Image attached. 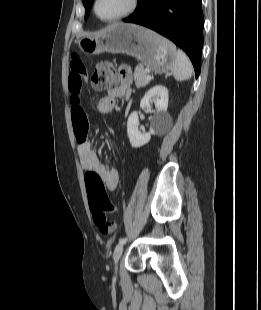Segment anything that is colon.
Wrapping results in <instances>:
<instances>
[{"mask_svg":"<svg viewBox=\"0 0 261 310\" xmlns=\"http://www.w3.org/2000/svg\"><path fill=\"white\" fill-rule=\"evenodd\" d=\"M115 85H117V77L113 65L108 61L98 62L91 77L93 89L102 91ZM85 182L95 225L102 234L113 233L116 223L107 218L106 212H114L116 206L110 201L101 176L94 171H88L85 174Z\"/></svg>","mask_w":261,"mask_h":310,"instance_id":"obj_1","label":"colon"}]
</instances>
